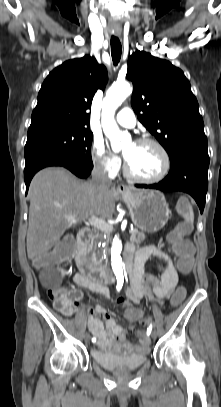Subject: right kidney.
I'll list each match as a JSON object with an SVG mask.
<instances>
[{"label": "right kidney", "mask_w": 221, "mask_h": 407, "mask_svg": "<svg viewBox=\"0 0 221 407\" xmlns=\"http://www.w3.org/2000/svg\"><path fill=\"white\" fill-rule=\"evenodd\" d=\"M60 272H61L62 275H64V271H63V270H60Z\"/></svg>", "instance_id": "obj_1"}]
</instances>
